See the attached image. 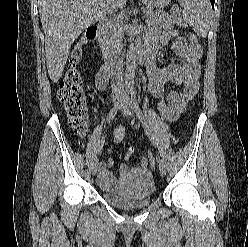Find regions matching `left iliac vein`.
I'll return each instance as SVG.
<instances>
[{
  "instance_id": "obj_1",
  "label": "left iliac vein",
  "mask_w": 248,
  "mask_h": 247,
  "mask_svg": "<svg viewBox=\"0 0 248 247\" xmlns=\"http://www.w3.org/2000/svg\"><path fill=\"white\" fill-rule=\"evenodd\" d=\"M120 110L128 117L133 115V109L131 107L129 98L126 93L120 95ZM159 171L162 176L166 174L167 165L163 158H158Z\"/></svg>"
}]
</instances>
